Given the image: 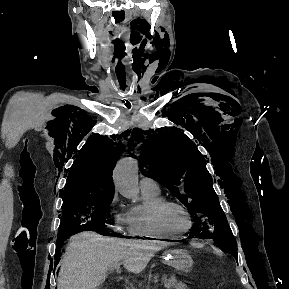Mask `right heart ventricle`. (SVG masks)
<instances>
[{"instance_id":"right-heart-ventricle-1","label":"right heart ventricle","mask_w":289,"mask_h":289,"mask_svg":"<svg viewBox=\"0 0 289 289\" xmlns=\"http://www.w3.org/2000/svg\"><path fill=\"white\" fill-rule=\"evenodd\" d=\"M142 203L132 206L124 213L126 232L131 236L148 238H168L160 232L150 218L151 208L162 198L160 192L142 191Z\"/></svg>"}]
</instances>
